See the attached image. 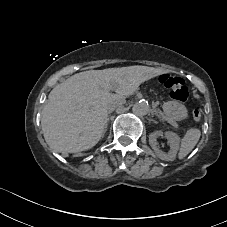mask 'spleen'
Masks as SVG:
<instances>
[{"label":"spleen","mask_w":227,"mask_h":227,"mask_svg":"<svg viewBox=\"0 0 227 227\" xmlns=\"http://www.w3.org/2000/svg\"><path fill=\"white\" fill-rule=\"evenodd\" d=\"M201 136L199 129H189L181 140V146L178 153V158L183 159L186 157L196 146Z\"/></svg>","instance_id":"obj_1"}]
</instances>
